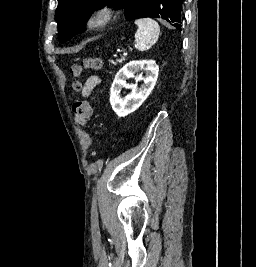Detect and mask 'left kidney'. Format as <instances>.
I'll use <instances>...</instances> for the list:
<instances>
[{
    "instance_id": "left-kidney-1",
    "label": "left kidney",
    "mask_w": 256,
    "mask_h": 267,
    "mask_svg": "<svg viewBox=\"0 0 256 267\" xmlns=\"http://www.w3.org/2000/svg\"><path fill=\"white\" fill-rule=\"evenodd\" d=\"M136 72H146L145 78L142 74L134 76ZM158 74L159 66L155 60H133L117 72L110 90V104L117 116L120 118L128 116L143 104L144 100L151 94L157 82ZM129 78H135L136 82L143 80L144 84L141 88H138L137 84H127L126 80ZM122 88L131 90L125 98L121 96Z\"/></svg>"
}]
</instances>
